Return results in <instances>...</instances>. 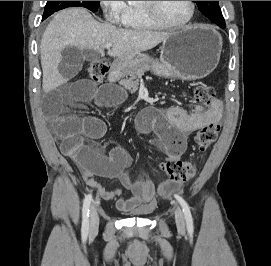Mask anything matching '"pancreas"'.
<instances>
[{"label": "pancreas", "mask_w": 271, "mask_h": 266, "mask_svg": "<svg viewBox=\"0 0 271 266\" xmlns=\"http://www.w3.org/2000/svg\"><path fill=\"white\" fill-rule=\"evenodd\" d=\"M150 66L148 64H143L138 68H134L130 72V78H126L121 80L120 84L123 85L126 89H129L132 93L137 90L138 81L135 79L137 77H141L146 71L150 70Z\"/></svg>", "instance_id": "cf45deb5"}]
</instances>
